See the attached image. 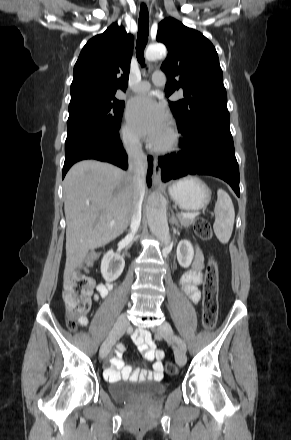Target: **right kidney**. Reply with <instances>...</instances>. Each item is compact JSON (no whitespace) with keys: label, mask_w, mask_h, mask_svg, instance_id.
<instances>
[{"label":"right kidney","mask_w":291,"mask_h":440,"mask_svg":"<svg viewBox=\"0 0 291 440\" xmlns=\"http://www.w3.org/2000/svg\"><path fill=\"white\" fill-rule=\"evenodd\" d=\"M125 261L119 254L109 250L101 261V274L107 282L116 280L123 272Z\"/></svg>","instance_id":"obj_1"}]
</instances>
